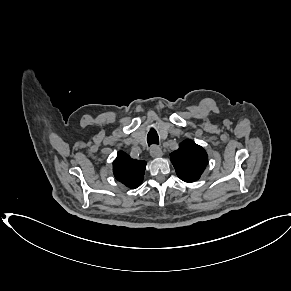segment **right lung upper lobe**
Wrapping results in <instances>:
<instances>
[{"instance_id": "1", "label": "right lung upper lobe", "mask_w": 291, "mask_h": 291, "mask_svg": "<svg viewBox=\"0 0 291 291\" xmlns=\"http://www.w3.org/2000/svg\"><path fill=\"white\" fill-rule=\"evenodd\" d=\"M146 162L132 159L125 152L120 151L113 162L115 178L129 188L140 186L144 178Z\"/></svg>"}]
</instances>
